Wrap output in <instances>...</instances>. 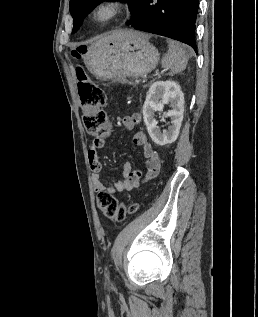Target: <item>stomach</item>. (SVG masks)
<instances>
[{
    "instance_id": "0dacf381",
    "label": "stomach",
    "mask_w": 258,
    "mask_h": 317,
    "mask_svg": "<svg viewBox=\"0 0 258 317\" xmlns=\"http://www.w3.org/2000/svg\"><path fill=\"white\" fill-rule=\"evenodd\" d=\"M83 62L92 74L103 78L114 76H144L155 68L159 52L138 30H126L122 40H102L85 44Z\"/></svg>"
}]
</instances>
